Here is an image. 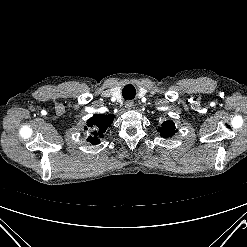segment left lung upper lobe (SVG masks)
Masks as SVG:
<instances>
[{"mask_svg":"<svg viewBox=\"0 0 247 247\" xmlns=\"http://www.w3.org/2000/svg\"><path fill=\"white\" fill-rule=\"evenodd\" d=\"M158 131L162 137L168 138L176 132V129L172 121H165L161 124V127H159Z\"/></svg>","mask_w":247,"mask_h":247,"instance_id":"left-lung-upper-lobe-1","label":"left lung upper lobe"}]
</instances>
